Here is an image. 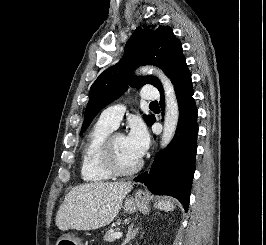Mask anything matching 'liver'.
Instances as JSON below:
<instances>
[{"label":"liver","mask_w":266,"mask_h":245,"mask_svg":"<svg viewBox=\"0 0 266 245\" xmlns=\"http://www.w3.org/2000/svg\"><path fill=\"white\" fill-rule=\"evenodd\" d=\"M132 183H84L66 195L56 215L60 231H93L117 217Z\"/></svg>","instance_id":"liver-1"}]
</instances>
